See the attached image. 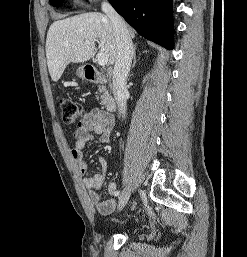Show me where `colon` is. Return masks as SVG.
Masks as SVG:
<instances>
[{"instance_id":"5ec220e1","label":"colon","mask_w":247,"mask_h":257,"mask_svg":"<svg viewBox=\"0 0 247 257\" xmlns=\"http://www.w3.org/2000/svg\"><path fill=\"white\" fill-rule=\"evenodd\" d=\"M59 106L62 113V119L67 125L79 123L86 115L85 108L79 102L68 97L59 99Z\"/></svg>"}]
</instances>
